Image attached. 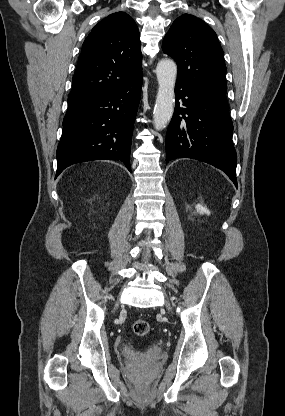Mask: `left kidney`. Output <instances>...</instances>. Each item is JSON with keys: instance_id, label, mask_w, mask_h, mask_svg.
Returning a JSON list of instances; mask_svg holds the SVG:
<instances>
[{"instance_id": "5707ae66", "label": "left kidney", "mask_w": 285, "mask_h": 416, "mask_svg": "<svg viewBox=\"0 0 285 416\" xmlns=\"http://www.w3.org/2000/svg\"><path fill=\"white\" fill-rule=\"evenodd\" d=\"M196 210L198 214H207V216H210L209 210H207V208H204V206H200V204H197Z\"/></svg>"}]
</instances>
